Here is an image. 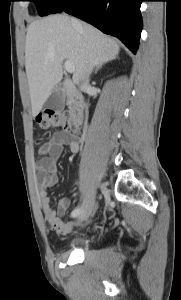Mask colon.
<instances>
[{
    "label": "colon",
    "instance_id": "5ec220e1",
    "mask_svg": "<svg viewBox=\"0 0 181 300\" xmlns=\"http://www.w3.org/2000/svg\"><path fill=\"white\" fill-rule=\"evenodd\" d=\"M36 125L41 129L60 128L71 131L69 116L55 109H46L36 117Z\"/></svg>",
    "mask_w": 181,
    "mask_h": 300
}]
</instances>
